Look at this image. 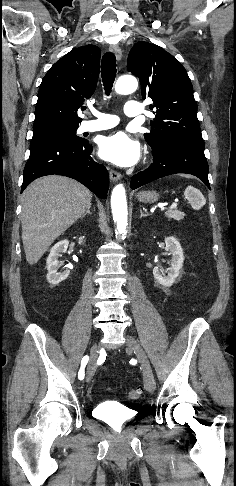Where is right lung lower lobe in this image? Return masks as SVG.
I'll use <instances>...</instances> for the list:
<instances>
[{
    "mask_svg": "<svg viewBox=\"0 0 236 486\" xmlns=\"http://www.w3.org/2000/svg\"><path fill=\"white\" fill-rule=\"evenodd\" d=\"M88 141H67L56 137L31 140L30 157L23 172L21 192L35 179L46 175H64L76 179L102 199L107 198V169L92 158Z\"/></svg>",
    "mask_w": 236,
    "mask_h": 486,
    "instance_id": "98d812e1",
    "label": "right lung lower lobe"
}]
</instances>
